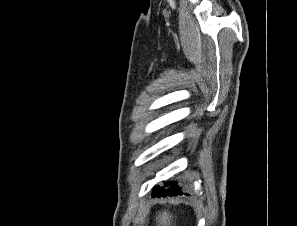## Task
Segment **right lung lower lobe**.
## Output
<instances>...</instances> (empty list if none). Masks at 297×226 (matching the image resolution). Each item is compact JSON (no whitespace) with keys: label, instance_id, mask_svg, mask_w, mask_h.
I'll list each match as a JSON object with an SVG mask.
<instances>
[{"label":"right lung lower lobe","instance_id":"1","mask_svg":"<svg viewBox=\"0 0 297 226\" xmlns=\"http://www.w3.org/2000/svg\"><path fill=\"white\" fill-rule=\"evenodd\" d=\"M177 183L176 182H173V183H167L166 186L170 185L172 187H175V188H172V189H165L164 187H154V190H153V194L152 196L155 197H160V196H176V195H181L182 192L179 191V188L177 187L176 185Z\"/></svg>","mask_w":297,"mask_h":226}]
</instances>
